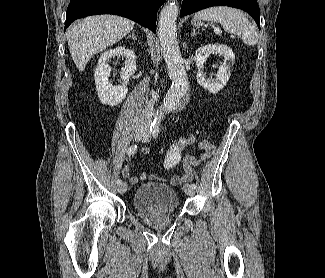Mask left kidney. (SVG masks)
Listing matches in <instances>:
<instances>
[{
	"instance_id": "obj_1",
	"label": "left kidney",
	"mask_w": 325,
	"mask_h": 278,
	"mask_svg": "<svg viewBox=\"0 0 325 278\" xmlns=\"http://www.w3.org/2000/svg\"><path fill=\"white\" fill-rule=\"evenodd\" d=\"M211 54H219L224 57V63L219 67L215 80L207 79L202 71L203 64ZM235 55L226 45H206L195 53V62L198 68L197 82L204 89L215 94L223 89L230 78V68L234 64Z\"/></svg>"
}]
</instances>
